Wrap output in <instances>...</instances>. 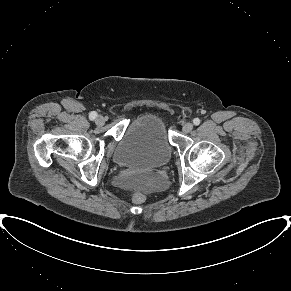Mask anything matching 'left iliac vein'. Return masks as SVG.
I'll list each match as a JSON object with an SVG mask.
<instances>
[{
    "label": "left iliac vein",
    "instance_id": "1",
    "mask_svg": "<svg viewBox=\"0 0 291 291\" xmlns=\"http://www.w3.org/2000/svg\"><path fill=\"white\" fill-rule=\"evenodd\" d=\"M193 129V124L192 123H185L182 127V131L184 133H189Z\"/></svg>",
    "mask_w": 291,
    "mask_h": 291
}]
</instances>
